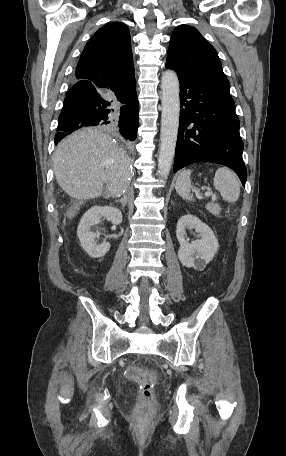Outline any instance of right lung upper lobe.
<instances>
[{
    "label": "right lung upper lobe",
    "mask_w": 286,
    "mask_h": 456,
    "mask_svg": "<svg viewBox=\"0 0 286 456\" xmlns=\"http://www.w3.org/2000/svg\"><path fill=\"white\" fill-rule=\"evenodd\" d=\"M75 77L101 84L115 83L134 77V66L128 28L119 22L100 28L86 44L76 67Z\"/></svg>",
    "instance_id": "obj_1"
}]
</instances>
